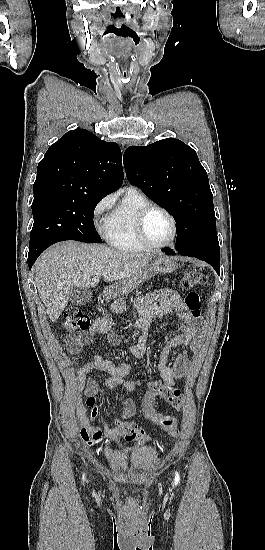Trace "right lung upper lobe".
Wrapping results in <instances>:
<instances>
[{"mask_svg":"<svg viewBox=\"0 0 265 550\" xmlns=\"http://www.w3.org/2000/svg\"><path fill=\"white\" fill-rule=\"evenodd\" d=\"M123 181L122 155L116 143L90 131L67 132L50 146L37 168L34 195L106 196Z\"/></svg>","mask_w":265,"mask_h":550,"instance_id":"cb5924a9","label":"right lung upper lobe"}]
</instances>
